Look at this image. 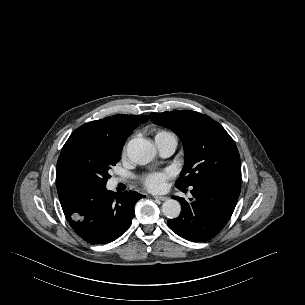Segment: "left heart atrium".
<instances>
[{"label":"left heart atrium","mask_w":305,"mask_h":305,"mask_svg":"<svg viewBox=\"0 0 305 305\" xmlns=\"http://www.w3.org/2000/svg\"><path fill=\"white\" fill-rule=\"evenodd\" d=\"M169 176L170 174L167 172L152 173L144 178L143 183L149 190L158 192L165 188V183Z\"/></svg>","instance_id":"39dd6f15"}]
</instances>
